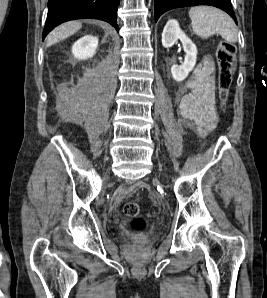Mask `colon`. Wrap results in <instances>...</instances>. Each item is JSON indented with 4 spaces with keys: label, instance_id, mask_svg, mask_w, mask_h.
Returning a JSON list of instances; mask_svg holds the SVG:
<instances>
[{
    "label": "colon",
    "instance_id": "colon-1",
    "mask_svg": "<svg viewBox=\"0 0 267 298\" xmlns=\"http://www.w3.org/2000/svg\"><path fill=\"white\" fill-rule=\"evenodd\" d=\"M218 62V90L221 107L226 108L233 73L236 63V46L229 42H221L217 49ZM126 217L131 220V227L135 230H143L145 221L140 217V205L136 202H128L123 207Z\"/></svg>",
    "mask_w": 267,
    "mask_h": 298
}]
</instances>
